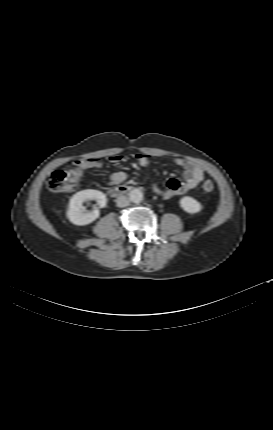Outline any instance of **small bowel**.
<instances>
[{"label":"small bowel","mask_w":273,"mask_h":430,"mask_svg":"<svg viewBox=\"0 0 273 430\" xmlns=\"http://www.w3.org/2000/svg\"><path fill=\"white\" fill-rule=\"evenodd\" d=\"M124 160L123 156L115 155L109 158L113 164H118ZM136 160L140 166H147L150 163V156L147 154H137ZM175 164L182 169L184 181H179L171 175L165 184V188L161 189L156 184L153 185V191L162 199H170L176 195H181L187 191L194 189L204 179V171L201 167L194 165L182 158L175 159ZM74 166L88 169L90 167H98L99 160L96 158H82L74 161ZM126 179V174L122 171L114 172L110 176L112 184L122 183Z\"/></svg>","instance_id":"small-bowel-1"}]
</instances>
